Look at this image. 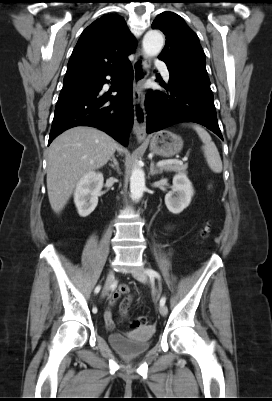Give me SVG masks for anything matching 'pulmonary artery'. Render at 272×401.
I'll return each mask as SVG.
<instances>
[{"label":"pulmonary artery","instance_id":"e3ab8cb5","mask_svg":"<svg viewBox=\"0 0 272 401\" xmlns=\"http://www.w3.org/2000/svg\"><path fill=\"white\" fill-rule=\"evenodd\" d=\"M155 65H156L157 67L160 68L163 77H164L166 80H168L169 77H170V75H169V71H168V69H167V67H166L165 62L162 61V60H157L156 63H155Z\"/></svg>","mask_w":272,"mask_h":401}]
</instances>
